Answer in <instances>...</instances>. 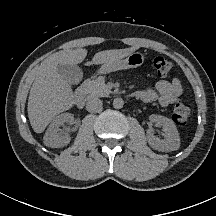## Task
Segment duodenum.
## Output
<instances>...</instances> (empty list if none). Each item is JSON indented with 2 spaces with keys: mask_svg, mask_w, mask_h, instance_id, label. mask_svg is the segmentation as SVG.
<instances>
[{
  "mask_svg": "<svg viewBox=\"0 0 216 216\" xmlns=\"http://www.w3.org/2000/svg\"><path fill=\"white\" fill-rule=\"evenodd\" d=\"M134 95L138 98L140 97L138 93H134ZM86 96H87V84H83L77 89L75 94L76 104L79 108L84 107Z\"/></svg>",
  "mask_w": 216,
  "mask_h": 216,
  "instance_id": "410a0bca",
  "label": "duodenum"
}]
</instances>
